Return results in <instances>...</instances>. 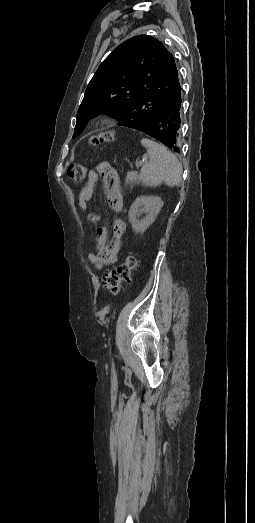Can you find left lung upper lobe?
I'll use <instances>...</instances> for the list:
<instances>
[{
	"label": "left lung upper lobe",
	"instance_id": "5c2ea615",
	"mask_svg": "<svg viewBox=\"0 0 255 523\" xmlns=\"http://www.w3.org/2000/svg\"><path fill=\"white\" fill-rule=\"evenodd\" d=\"M178 87L173 55L151 36L133 37L112 51L89 82L73 138L91 118L104 112L121 120L118 125H144L152 115H160L159 110Z\"/></svg>",
	"mask_w": 255,
	"mask_h": 523
}]
</instances>
